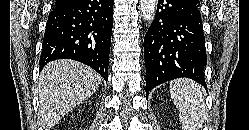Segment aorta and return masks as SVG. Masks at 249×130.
I'll return each mask as SVG.
<instances>
[{
	"mask_svg": "<svg viewBox=\"0 0 249 130\" xmlns=\"http://www.w3.org/2000/svg\"><path fill=\"white\" fill-rule=\"evenodd\" d=\"M139 3L144 22L150 24L156 14L157 0H140Z\"/></svg>",
	"mask_w": 249,
	"mask_h": 130,
	"instance_id": "762f6f07",
	"label": "aorta"
}]
</instances>
